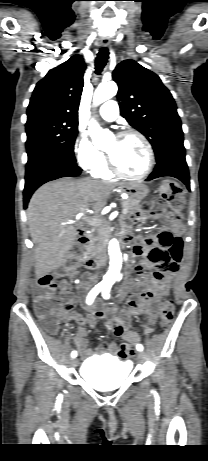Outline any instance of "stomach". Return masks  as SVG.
I'll return each instance as SVG.
<instances>
[{
  "mask_svg": "<svg viewBox=\"0 0 208 461\" xmlns=\"http://www.w3.org/2000/svg\"><path fill=\"white\" fill-rule=\"evenodd\" d=\"M122 192L128 193L131 198L141 200L147 196L149 192V188L143 184L138 182H131L127 183L121 188Z\"/></svg>",
  "mask_w": 208,
  "mask_h": 461,
  "instance_id": "obj_1",
  "label": "stomach"
}]
</instances>
